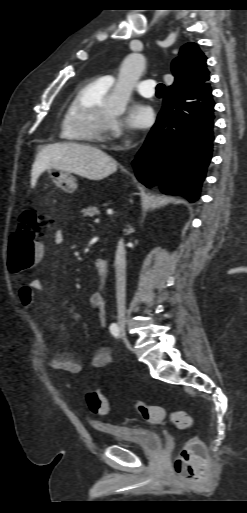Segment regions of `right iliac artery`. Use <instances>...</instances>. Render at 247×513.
I'll list each match as a JSON object with an SVG mask.
<instances>
[{
	"mask_svg": "<svg viewBox=\"0 0 247 513\" xmlns=\"http://www.w3.org/2000/svg\"><path fill=\"white\" fill-rule=\"evenodd\" d=\"M110 329V332L111 334L115 337V338H120V330H119V327L116 323H112L109 327Z\"/></svg>",
	"mask_w": 247,
	"mask_h": 513,
	"instance_id": "82829eb1",
	"label": "right iliac artery"
}]
</instances>
